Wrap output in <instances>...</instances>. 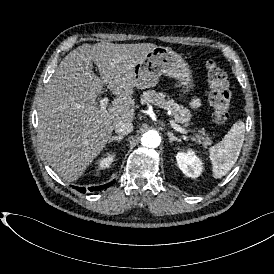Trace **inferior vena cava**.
<instances>
[{
	"label": "inferior vena cava",
	"mask_w": 274,
	"mask_h": 274,
	"mask_svg": "<svg viewBox=\"0 0 274 274\" xmlns=\"http://www.w3.org/2000/svg\"><path fill=\"white\" fill-rule=\"evenodd\" d=\"M133 130V124L130 120L120 121L115 125V132L120 135H125Z\"/></svg>",
	"instance_id": "1"
}]
</instances>
